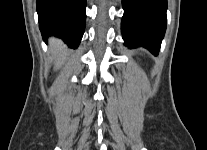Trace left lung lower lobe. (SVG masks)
Here are the masks:
<instances>
[{
    "label": "left lung lower lobe",
    "mask_w": 207,
    "mask_h": 150,
    "mask_svg": "<svg viewBox=\"0 0 207 150\" xmlns=\"http://www.w3.org/2000/svg\"><path fill=\"white\" fill-rule=\"evenodd\" d=\"M121 31L125 44L157 55L166 30L167 0H122Z\"/></svg>",
    "instance_id": "0a47b994"
}]
</instances>
